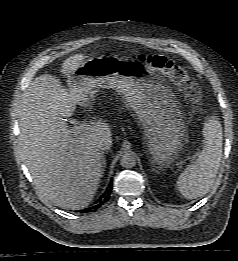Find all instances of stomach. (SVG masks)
<instances>
[{
  "label": "stomach",
  "mask_w": 238,
  "mask_h": 261,
  "mask_svg": "<svg viewBox=\"0 0 238 261\" xmlns=\"http://www.w3.org/2000/svg\"><path fill=\"white\" fill-rule=\"evenodd\" d=\"M68 86L84 98L85 105L92 103L100 88L116 90L142 124L154 163L167 166L177 157L185 139L183 116L147 64L127 58L89 59L68 77Z\"/></svg>",
  "instance_id": "stomach-1"
}]
</instances>
